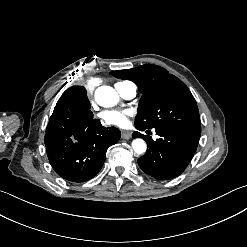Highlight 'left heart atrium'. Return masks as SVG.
<instances>
[{
    "mask_svg": "<svg viewBox=\"0 0 247 247\" xmlns=\"http://www.w3.org/2000/svg\"><path fill=\"white\" fill-rule=\"evenodd\" d=\"M132 114V111L128 109H109L103 111L100 114V117L107 125L123 127L128 124V119L132 116Z\"/></svg>",
    "mask_w": 247,
    "mask_h": 247,
    "instance_id": "left-heart-atrium-1",
    "label": "left heart atrium"
}]
</instances>
